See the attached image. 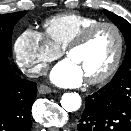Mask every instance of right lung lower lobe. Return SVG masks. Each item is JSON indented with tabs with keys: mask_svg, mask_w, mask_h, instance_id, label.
<instances>
[{
	"mask_svg": "<svg viewBox=\"0 0 131 131\" xmlns=\"http://www.w3.org/2000/svg\"><path fill=\"white\" fill-rule=\"evenodd\" d=\"M35 82L10 72L8 57L0 55V131H30Z\"/></svg>",
	"mask_w": 131,
	"mask_h": 131,
	"instance_id": "1",
	"label": "right lung lower lobe"
}]
</instances>
